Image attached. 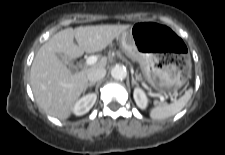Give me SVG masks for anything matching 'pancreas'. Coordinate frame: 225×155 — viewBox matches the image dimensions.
<instances>
[{
	"label": "pancreas",
	"instance_id": "1",
	"mask_svg": "<svg viewBox=\"0 0 225 155\" xmlns=\"http://www.w3.org/2000/svg\"><path fill=\"white\" fill-rule=\"evenodd\" d=\"M136 77L137 78H141L142 76L140 74H136Z\"/></svg>",
	"mask_w": 225,
	"mask_h": 155
}]
</instances>
